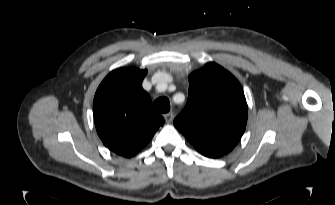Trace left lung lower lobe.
<instances>
[{
    "mask_svg": "<svg viewBox=\"0 0 335 205\" xmlns=\"http://www.w3.org/2000/svg\"><path fill=\"white\" fill-rule=\"evenodd\" d=\"M207 157H211V156H207ZM211 158H217V157H211Z\"/></svg>",
    "mask_w": 335,
    "mask_h": 205,
    "instance_id": "0a47b994",
    "label": "left lung lower lobe"
}]
</instances>
